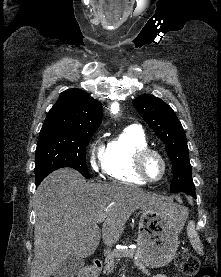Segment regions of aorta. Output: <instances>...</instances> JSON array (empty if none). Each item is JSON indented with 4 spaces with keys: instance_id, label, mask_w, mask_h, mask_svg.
Here are the masks:
<instances>
[{
    "instance_id": "aorta-1",
    "label": "aorta",
    "mask_w": 221,
    "mask_h": 277,
    "mask_svg": "<svg viewBox=\"0 0 221 277\" xmlns=\"http://www.w3.org/2000/svg\"><path fill=\"white\" fill-rule=\"evenodd\" d=\"M113 111L115 112V111H117V109H114Z\"/></svg>"
}]
</instances>
